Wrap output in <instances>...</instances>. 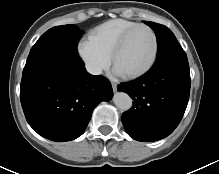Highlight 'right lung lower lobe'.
Masks as SVG:
<instances>
[{"instance_id": "98d812e1", "label": "right lung lower lobe", "mask_w": 219, "mask_h": 174, "mask_svg": "<svg viewBox=\"0 0 219 174\" xmlns=\"http://www.w3.org/2000/svg\"><path fill=\"white\" fill-rule=\"evenodd\" d=\"M112 95L111 83L89 74L77 53L54 54L23 70L20 100L26 120L52 141L82 135L94 108Z\"/></svg>"}]
</instances>
